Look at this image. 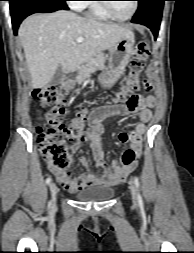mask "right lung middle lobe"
I'll list each match as a JSON object with an SVG mask.
<instances>
[{"instance_id":"1","label":"right lung middle lobe","mask_w":194,"mask_h":253,"mask_svg":"<svg viewBox=\"0 0 194 253\" xmlns=\"http://www.w3.org/2000/svg\"><path fill=\"white\" fill-rule=\"evenodd\" d=\"M10 2L16 1V0H9Z\"/></svg>"}]
</instances>
